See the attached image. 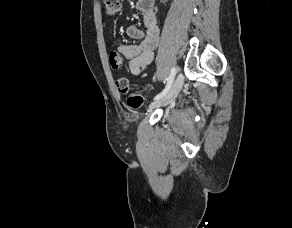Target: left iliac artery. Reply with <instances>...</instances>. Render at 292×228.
Returning a JSON list of instances; mask_svg holds the SVG:
<instances>
[{
	"instance_id": "obj_1",
	"label": "left iliac artery",
	"mask_w": 292,
	"mask_h": 228,
	"mask_svg": "<svg viewBox=\"0 0 292 228\" xmlns=\"http://www.w3.org/2000/svg\"><path fill=\"white\" fill-rule=\"evenodd\" d=\"M176 72H177L176 68L173 67L171 69V72H170V75H169V78H168V81H167L165 88L162 90V92H160L159 94H157L154 97V100H159L160 98L164 97L169 92V90L171 89V86L173 84Z\"/></svg>"
}]
</instances>
